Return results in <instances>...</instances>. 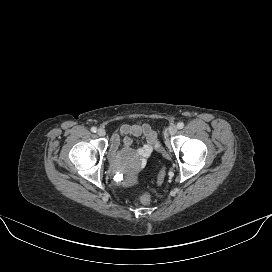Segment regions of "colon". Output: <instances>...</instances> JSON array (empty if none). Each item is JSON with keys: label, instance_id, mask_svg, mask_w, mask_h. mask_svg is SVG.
I'll list each match as a JSON object with an SVG mask.
<instances>
[{"label": "colon", "instance_id": "5ec220e1", "mask_svg": "<svg viewBox=\"0 0 272 272\" xmlns=\"http://www.w3.org/2000/svg\"><path fill=\"white\" fill-rule=\"evenodd\" d=\"M163 177H164V170H161L160 173H159V176H158V181L161 182ZM152 196H153L152 191L151 192H145V193L140 195V198H139L140 202L142 204L147 205V204H149L151 202Z\"/></svg>", "mask_w": 272, "mask_h": 272}]
</instances>
